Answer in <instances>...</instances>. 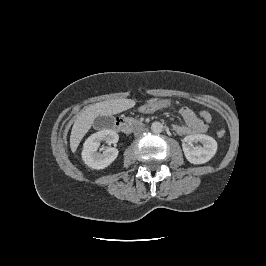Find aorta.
Returning <instances> with one entry per match:
<instances>
[{"label":"aorta","instance_id":"aorta-1","mask_svg":"<svg viewBox=\"0 0 266 266\" xmlns=\"http://www.w3.org/2000/svg\"><path fill=\"white\" fill-rule=\"evenodd\" d=\"M151 131L153 133H161L163 131V124L160 122H153L151 125Z\"/></svg>","mask_w":266,"mask_h":266}]
</instances>
